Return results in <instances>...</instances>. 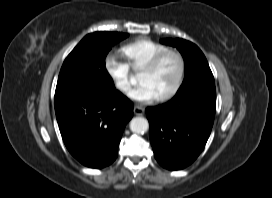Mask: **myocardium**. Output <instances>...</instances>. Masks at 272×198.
Segmentation results:
<instances>
[{"label": "myocardium", "mask_w": 272, "mask_h": 198, "mask_svg": "<svg viewBox=\"0 0 272 198\" xmlns=\"http://www.w3.org/2000/svg\"><path fill=\"white\" fill-rule=\"evenodd\" d=\"M169 55H175L178 58L179 61V74L177 77V80L172 87V89L167 92L164 95H161L156 98L157 101L164 102L172 99L181 89L184 79H185V74H186V63H185V58L183 54L176 50V49H166L164 51L159 52L156 54L142 69L141 72H153L160 64L161 62Z\"/></svg>", "instance_id": "1"}]
</instances>
